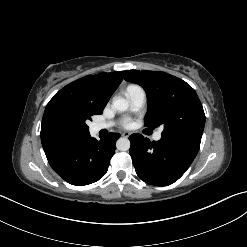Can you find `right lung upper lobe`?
<instances>
[{"mask_svg":"<svg viewBox=\"0 0 247 247\" xmlns=\"http://www.w3.org/2000/svg\"><path fill=\"white\" fill-rule=\"evenodd\" d=\"M123 79L122 72L87 75L62 88L46 106L41 142L44 151L83 140L89 131L68 132L58 124V116L66 109H85L101 114L110 96Z\"/></svg>","mask_w":247,"mask_h":247,"instance_id":"obj_1","label":"right lung upper lobe"}]
</instances>
